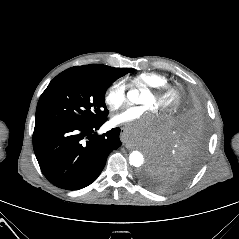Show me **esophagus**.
I'll list each match as a JSON object with an SVG mask.
<instances>
[{
  "mask_svg": "<svg viewBox=\"0 0 239 239\" xmlns=\"http://www.w3.org/2000/svg\"><path fill=\"white\" fill-rule=\"evenodd\" d=\"M125 135H126V129L125 128H121V136L119 137V140L123 141V144L126 146V148L132 149V147L124 139Z\"/></svg>",
  "mask_w": 239,
  "mask_h": 239,
  "instance_id": "obj_1",
  "label": "esophagus"
}]
</instances>
